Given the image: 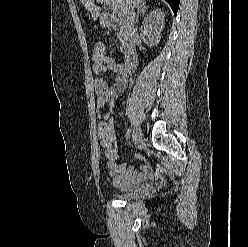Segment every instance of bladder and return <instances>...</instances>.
Masks as SVG:
<instances>
[{"label":"bladder","mask_w":248,"mask_h":247,"mask_svg":"<svg viewBox=\"0 0 248 247\" xmlns=\"http://www.w3.org/2000/svg\"><path fill=\"white\" fill-rule=\"evenodd\" d=\"M150 191H151L150 184H141L133 190L118 192L116 193V196L121 200L128 201L145 196L149 194Z\"/></svg>","instance_id":"obj_1"}]
</instances>
